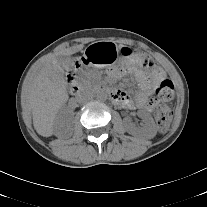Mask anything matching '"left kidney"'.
Masks as SVG:
<instances>
[{
  "label": "left kidney",
  "instance_id": "obj_1",
  "mask_svg": "<svg viewBox=\"0 0 207 207\" xmlns=\"http://www.w3.org/2000/svg\"><path fill=\"white\" fill-rule=\"evenodd\" d=\"M138 115L144 120V126L141 129H137L131 122L126 121V129L128 133L132 135H141L147 139L153 138L157 133V126L152 116L145 111H139Z\"/></svg>",
  "mask_w": 207,
  "mask_h": 207
}]
</instances>
